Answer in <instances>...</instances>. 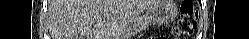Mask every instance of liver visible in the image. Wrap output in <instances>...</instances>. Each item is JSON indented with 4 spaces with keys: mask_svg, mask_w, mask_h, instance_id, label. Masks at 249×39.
Returning <instances> with one entry per match:
<instances>
[{
    "mask_svg": "<svg viewBox=\"0 0 249 39\" xmlns=\"http://www.w3.org/2000/svg\"><path fill=\"white\" fill-rule=\"evenodd\" d=\"M156 0H55L52 39H117ZM96 25L92 28V24Z\"/></svg>",
    "mask_w": 249,
    "mask_h": 39,
    "instance_id": "obj_1",
    "label": "liver"
}]
</instances>
